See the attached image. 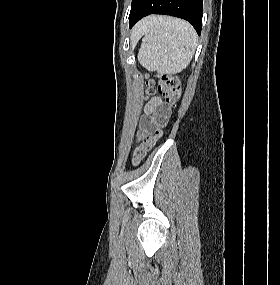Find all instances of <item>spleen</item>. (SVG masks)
Listing matches in <instances>:
<instances>
[{"label": "spleen", "mask_w": 280, "mask_h": 285, "mask_svg": "<svg viewBox=\"0 0 280 285\" xmlns=\"http://www.w3.org/2000/svg\"><path fill=\"white\" fill-rule=\"evenodd\" d=\"M140 31L144 38L138 61L149 71L177 73L194 55L197 35L194 28L184 20L153 16L143 22Z\"/></svg>", "instance_id": "3e777b00"}]
</instances>
